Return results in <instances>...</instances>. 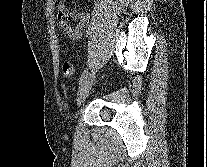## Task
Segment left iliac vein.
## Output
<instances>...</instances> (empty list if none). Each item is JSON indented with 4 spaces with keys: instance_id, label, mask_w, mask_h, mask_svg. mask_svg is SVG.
I'll list each match as a JSON object with an SVG mask.
<instances>
[{
    "instance_id": "left-iliac-vein-1",
    "label": "left iliac vein",
    "mask_w": 207,
    "mask_h": 167,
    "mask_svg": "<svg viewBox=\"0 0 207 167\" xmlns=\"http://www.w3.org/2000/svg\"><path fill=\"white\" fill-rule=\"evenodd\" d=\"M95 79V71L90 73L89 75L86 76L84 81L81 83L79 90H78V95H77V104L81 105L82 102L85 100L87 97L91 86L93 84V81Z\"/></svg>"
}]
</instances>
